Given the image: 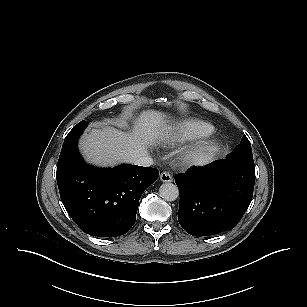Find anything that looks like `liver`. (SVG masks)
<instances>
[{"mask_svg": "<svg viewBox=\"0 0 307 307\" xmlns=\"http://www.w3.org/2000/svg\"><path fill=\"white\" fill-rule=\"evenodd\" d=\"M173 130L165 113L144 110L130 131L111 126L93 128L82 137L79 147L85 159L98 166L132 163L133 159L148 155L154 146L172 140Z\"/></svg>", "mask_w": 307, "mask_h": 307, "instance_id": "liver-1", "label": "liver"}]
</instances>
